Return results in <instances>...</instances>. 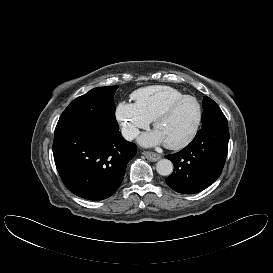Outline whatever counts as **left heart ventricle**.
<instances>
[{"instance_id": "b2bd125f", "label": "left heart ventricle", "mask_w": 273, "mask_h": 273, "mask_svg": "<svg viewBox=\"0 0 273 273\" xmlns=\"http://www.w3.org/2000/svg\"><path fill=\"white\" fill-rule=\"evenodd\" d=\"M197 119V106L192 100L178 104L156 127L164 143L175 144L184 140L192 131Z\"/></svg>"}]
</instances>
